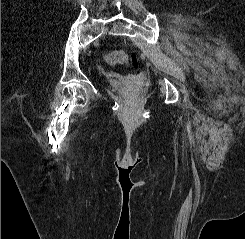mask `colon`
Returning a JSON list of instances; mask_svg holds the SVG:
<instances>
[{"label": "colon", "instance_id": "obj_1", "mask_svg": "<svg viewBox=\"0 0 245 239\" xmlns=\"http://www.w3.org/2000/svg\"><path fill=\"white\" fill-rule=\"evenodd\" d=\"M105 61L108 64H125L128 61L132 63L134 67L138 66V59L134 53H127L123 50L113 51L105 55Z\"/></svg>", "mask_w": 245, "mask_h": 239}]
</instances>
